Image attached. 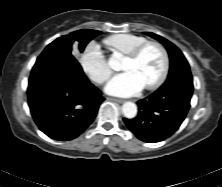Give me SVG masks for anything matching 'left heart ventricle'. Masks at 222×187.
<instances>
[{"label":"left heart ventricle","instance_id":"b2bd125f","mask_svg":"<svg viewBox=\"0 0 222 187\" xmlns=\"http://www.w3.org/2000/svg\"><path fill=\"white\" fill-rule=\"evenodd\" d=\"M162 66L163 57L160 50L154 46H150L135 61L125 58L122 69L124 71H132L143 86H146L158 78Z\"/></svg>","mask_w":222,"mask_h":187}]
</instances>
